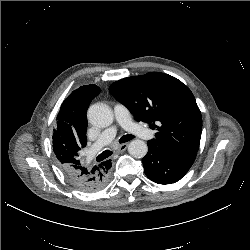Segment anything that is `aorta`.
I'll return each mask as SVG.
<instances>
[{"label":"aorta","mask_w":250,"mask_h":250,"mask_svg":"<svg viewBox=\"0 0 250 250\" xmlns=\"http://www.w3.org/2000/svg\"><path fill=\"white\" fill-rule=\"evenodd\" d=\"M88 119L93 126L106 128L113 123L114 115L106 105L93 104L88 110ZM147 151V144L139 139L131 141L128 146L129 154L135 158H143Z\"/></svg>","instance_id":"1"}]
</instances>
